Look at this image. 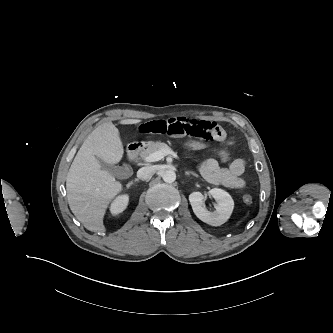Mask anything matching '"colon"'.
Segmentation results:
<instances>
[{
    "label": "colon",
    "instance_id": "1",
    "mask_svg": "<svg viewBox=\"0 0 333 333\" xmlns=\"http://www.w3.org/2000/svg\"><path fill=\"white\" fill-rule=\"evenodd\" d=\"M181 145L187 151L199 152L206 150H215L223 160L227 159V153L224 149L215 148L209 141L197 138H185L181 141ZM243 201L246 204H251L253 199L249 194L243 196Z\"/></svg>",
    "mask_w": 333,
    "mask_h": 333
}]
</instances>
